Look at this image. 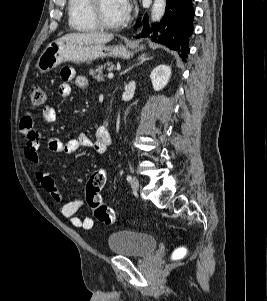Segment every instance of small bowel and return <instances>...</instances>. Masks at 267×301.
<instances>
[{
	"mask_svg": "<svg viewBox=\"0 0 267 301\" xmlns=\"http://www.w3.org/2000/svg\"><path fill=\"white\" fill-rule=\"evenodd\" d=\"M62 83L59 85L58 93L61 97L67 98L72 93V88L68 83L72 79L80 89L89 87V80L85 76H75V72L71 68H63L60 73ZM41 119L45 123H52L56 119V112L53 107L46 106L40 113ZM20 131L25 137L24 155L32 164L35 177L40 186L48 192L49 196L55 201L60 202L61 196L50 174L42 169L39 159V147L41 135L34 128L33 117L30 114L23 116L20 120ZM47 147L52 152L72 154L82 147L92 148L95 152L104 153L111 143L110 134L106 127L99 126L94 132L91 140L85 133L78 134L75 138L63 142L59 138L49 137L46 139ZM81 198H75L63 203L60 207L61 214L70 220L73 226L82 229H90L93 226V219L77 216V212L82 206Z\"/></svg>",
	"mask_w": 267,
	"mask_h": 301,
	"instance_id": "1",
	"label": "small bowel"
}]
</instances>
